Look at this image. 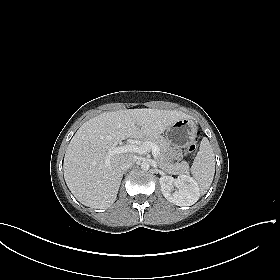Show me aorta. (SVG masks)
<instances>
[{
    "instance_id": "1",
    "label": "aorta",
    "mask_w": 280,
    "mask_h": 280,
    "mask_svg": "<svg viewBox=\"0 0 280 280\" xmlns=\"http://www.w3.org/2000/svg\"><path fill=\"white\" fill-rule=\"evenodd\" d=\"M150 168V165L148 162H142L141 163V169L144 171H147Z\"/></svg>"
}]
</instances>
